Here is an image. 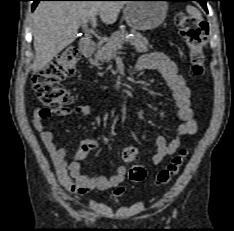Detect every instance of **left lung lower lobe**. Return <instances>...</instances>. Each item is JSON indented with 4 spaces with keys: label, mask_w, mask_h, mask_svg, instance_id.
Masks as SVG:
<instances>
[{
    "label": "left lung lower lobe",
    "mask_w": 234,
    "mask_h": 231,
    "mask_svg": "<svg viewBox=\"0 0 234 231\" xmlns=\"http://www.w3.org/2000/svg\"><path fill=\"white\" fill-rule=\"evenodd\" d=\"M168 1H198L202 5V7L204 8V10L206 12H208L207 6H206V2L210 1V0H168Z\"/></svg>",
    "instance_id": "obj_1"
}]
</instances>
